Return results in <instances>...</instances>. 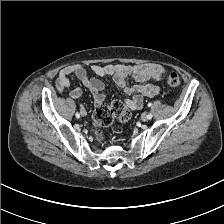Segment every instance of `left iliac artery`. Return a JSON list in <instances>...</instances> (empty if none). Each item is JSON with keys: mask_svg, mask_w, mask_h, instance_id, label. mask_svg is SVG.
Masks as SVG:
<instances>
[{"mask_svg": "<svg viewBox=\"0 0 224 224\" xmlns=\"http://www.w3.org/2000/svg\"><path fill=\"white\" fill-rule=\"evenodd\" d=\"M148 106H151V103H148ZM152 116H153L152 113H149V114H148V119H151Z\"/></svg>", "mask_w": 224, "mask_h": 224, "instance_id": "1", "label": "left iliac artery"}]
</instances>
